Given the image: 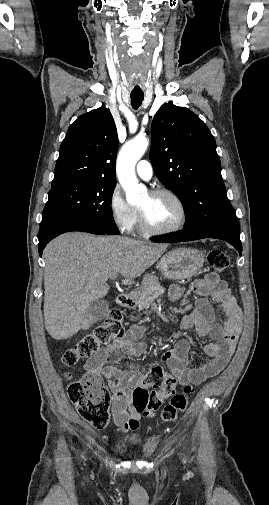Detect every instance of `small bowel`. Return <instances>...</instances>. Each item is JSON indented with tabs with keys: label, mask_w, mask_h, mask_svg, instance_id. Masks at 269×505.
<instances>
[{
	"label": "small bowel",
	"mask_w": 269,
	"mask_h": 505,
	"mask_svg": "<svg viewBox=\"0 0 269 505\" xmlns=\"http://www.w3.org/2000/svg\"><path fill=\"white\" fill-rule=\"evenodd\" d=\"M191 290L198 295V299L195 307L184 315L182 325L184 328L194 327L200 337L208 335L211 338L203 347L204 353L211 359L198 367H189V342L186 339L178 341L172 350L163 355L162 360L167 363L171 375L181 385H199L222 371L234 351L241 331V309L226 282L217 273L209 272L196 280L191 285ZM170 293L173 298H178L181 289L173 287ZM208 297L220 304L224 315L222 323L217 321ZM143 331V326L133 325L122 337L115 339L85 363L88 374L108 380L113 394V419L123 432L135 431L140 426L141 414L132 405L130 392L139 384L143 375L134 369L122 371L108 362L112 356L119 353L129 357L141 356L145 347L136 342L135 338Z\"/></svg>",
	"instance_id": "1"
}]
</instances>
